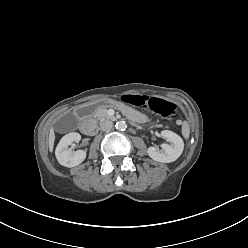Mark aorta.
I'll use <instances>...</instances> for the list:
<instances>
[{
    "label": "aorta",
    "mask_w": 248,
    "mask_h": 248,
    "mask_svg": "<svg viewBox=\"0 0 248 248\" xmlns=\"http://www.w3.org/2000/svg\"><path fill=\"white\" fill-rule=\"evenodd\" d=\"M115 126H116V129L120 130V131H124L127 128V124L125 121H118V122H116Z\"/></svg>",
    "instance_id": "762f6f07"
}]
</instances>
